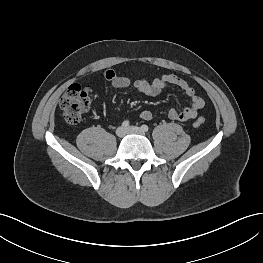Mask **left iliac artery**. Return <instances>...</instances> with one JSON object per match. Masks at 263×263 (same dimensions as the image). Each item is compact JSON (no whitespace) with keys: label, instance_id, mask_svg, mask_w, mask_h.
<instances>
[{"label":"left iliac artery","instance_id":"obj_1","mask_svg":"<svg viewBox=\"0 0 263 263\" xmlns=\"http://www.w3.org/2000/svg\"><path fill=\"white\" fill-rule=\"evenodd\" d=\"M142 131L147 132L149 130V127L145 124L141 126Z\"/></svg>","mask_w":263,"mask_h":263}]
</instances>
